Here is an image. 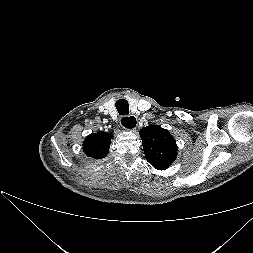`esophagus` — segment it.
Wrapping results in <instances>:
<instances>
[{"mask_svg":"<svg viewBox=\"0 0 253 253\" xmlns=\"http://www.w3.org/2000/svg\"><path fill=\"white\" fill-rule=\"evenodd\" d=\"M121 126L127 131H135L137 118L134 115H125L120 118Z\"/></svg>","mask_w":253,"mask_h":253,"instance_id":"esophagus-1","label":"esophagus"}]
</instances>
